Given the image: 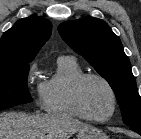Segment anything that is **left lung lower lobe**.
Wrapping results in <instances>:
<instances>
[{
	"label": "left lung lower lobe",
	"mask_w": 141,
	"mask_h": 139,
	"mask_svg": "<svg viewBox=\"0 0 141 139\" xmlns=\"http://www.w3.org/2000/svg\"><path fill=\"white\" fill-rule=\"evenodd\" d=\"M131 130H133V131H135V132H137L138 134L141 135V128H139V127H133V128H131Z\"/></svg>",
	"instance_id": "1"
}]
</instances>
